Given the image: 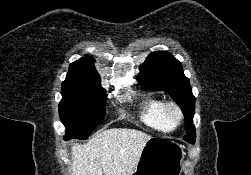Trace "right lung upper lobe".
<instances>
[{
	"mask_svg": "<svg viewBox=\"0 0 251 175\" xmlns=\"http://www.w3.org/2000/svg\"><path fill=\"white\" fill-rule=\"evenodd\" d=\"M63 85L101 87L100 77L94 67V59L88 55L70 64Z\"/></svg>",
	"mask_w": 251,
	"mask_h": 175,
	"instance_id": "right-lung-upper-lobe-1",
	"label": "right lung upper lobe"
}]
</instances>
